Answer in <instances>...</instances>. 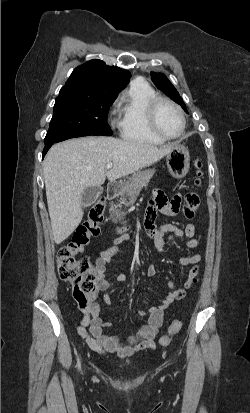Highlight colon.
Instances as JSON below:
<instances>
[{
    "label": "colon",
    "instance_id": "obj_1",
    "mask_svg": "<svg viewBox=\"0 0 250 413\" xmlns=\"http://www.w3.org/2000/svg\"><path fill=\"white\" fill-rule=\"evenodd\" d=\"M196 179L195 184L199 185L202 176V164L195 161ZM200 205V197L196 192H189L185 195L180 206L185 218H193ZM105 212V204L98 201L90 209L87 220L81 224L73 234L71 241L60 248L57 255V271L59 277L72 284L73 297L79 306H91L96 304L97 278L96 269L87 259H77L76 256L88 245L90 239L99 233V223ZM182 328V321L176 319L172 322L168 331L159 339L160 346H167L173 337Z\"/></svg>",
    "mask_w": 250,
    "mask_h": 413
}]
</instances>
